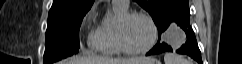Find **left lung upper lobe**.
I'll return each instance as SVG.
<instances>
[{"label": "left lung upper lobe", "instance_id": "left-lung-upper-lobe-1", "mask_svg": "<svg viewBox=\"0 0 242 64\" xmlns=\"http://www.w3.org/2000/svg\"><path fill=\"white\" fill-rule=\"evenodd\" d=\"M152 16L158 28V42L171 23L190 16L188 0H134Z\"/></svg>", "mask_w": 242, "mask_h": 64}]
</instances>
